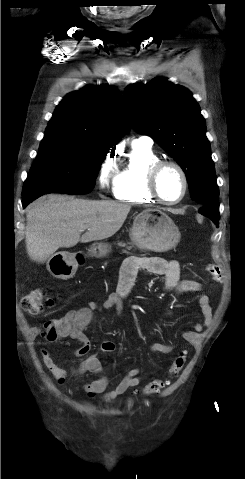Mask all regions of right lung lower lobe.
<instances>
[{"instance_id":"1","label":"right lung lower lobe","mask_w":245,"mask_h":479,"mask_svg":"<svg viewBox=\"0 0 245 479\" xmlns=\"http://www.w3.org/2000/svg\"><path fill=\"white\" fill-rule=\"evenodd\" d=\"M42 195H43L42 193H38V194H32V195L22 197L23 208H25L30 202H32L33 200H35L36 198H38Z\"/></svg>"}]
</instances>
